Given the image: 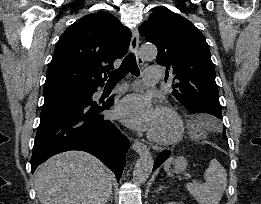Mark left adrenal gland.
<instances>
[{"label": "left adrenal gland", "mask_w": 261, "mask_h": 204, "mask_svg": "<svg viewBox=\"0 0 261 204\" xmlns=\"http://www.w3.org/2000/svg\"><path fill=\"white\" fill-rule=\"evenodd\" d=\"M162 189H167V187H164V186L160 185L157 192L161 191Z\"/></svg>", "instance_id": "obj_1"}]
</instances>
